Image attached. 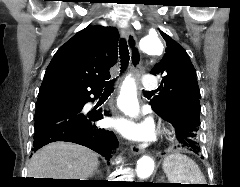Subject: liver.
<instances>
[{"instance_id":"liver-1","label":"liver","mask_w":240,"mask_h":187,"mask_svg":"<svg viewBox=\"0 0 240 187\" xmlns=\"http://www.w3.org/2000/svg\"><path fill=\"white\" fill-rule=\"evenodd\" d=\"M99 164L92 150L70 142H53L39 149L28 166V178L87 180Z\"/></svg>"}]
</instances>
